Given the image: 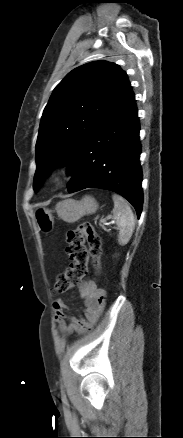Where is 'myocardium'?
Listing matches in <instances>:
<instances>
[{"instance_id":"obj_1","label":"myocardium","mask_w":183,"mask_h":438,"mask_svg":"<svg viewBox=\"0 0 183 438\" xmlns=\"http://www.w3.org/2000/svg\"><path fill=\"white\" fill-rule=\"evenodd\" d=\"M62 178H63V172L62 171H57V172L53 173V175L51 176V180L54 183L60 182L62 180Z\"/></svg>"}]
</instances>
